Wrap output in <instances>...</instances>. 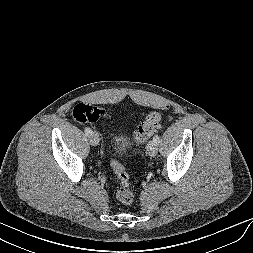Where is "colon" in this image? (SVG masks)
<instances>
[{
  "mask_svg": "<svg viewBox=\"0 0 253 253\" xmlns=\"http://www.w3.org/2000/svg\"><path fill=\"white\" fill-rule=\"evenodd\" d=\"M72 116L79 123L93 122L96 118V110L91 106L79 104L73 108ZM160 121V112L153 111L149 113L133 133V139L136 142L146 141L154 134ZM111 167L119 181V187L116 193L118 201L124 205L131 204L134 200V193L131 189L130 179L124 165L119 160L112 159Z\"/></svg>",
  "mask_w": 253,
  "mask_h": 253,
  "instance_id": "1",
  "label": "colon"
}]
</instances>
